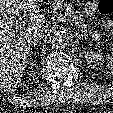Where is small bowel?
<instances>
[{"label": "small bowel", "instance_id": "1", "mask_svg": "<svg viewBox=\"0 0 113 113\" xmlns=\"http://www.w3.org/2000/svg\"><path fill=\"white\" fill-rule=\"evenodd\" d=\"M94 10H95V5L92 2L88 3L85 7V13L88 15L93 14Z\"/></svg>", "mask_w": 113, "mask_h": 113}]
</instances>
